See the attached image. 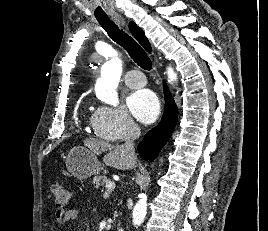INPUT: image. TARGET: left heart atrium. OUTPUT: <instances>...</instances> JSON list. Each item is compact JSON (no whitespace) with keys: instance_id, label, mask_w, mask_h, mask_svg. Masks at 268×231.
<instances>
[{"instance_id":"1","label":"left heart atrium","mask_w":268,"mask_h":231,"mask_svg":"<svg viewBox=\"0 0 268 231\" xmlns=\"http://www.w3.org/2000/svg\"><path fill=\"white\" fill-rule=\"evenodd\" d=\"M127 107L131 115L144 124L153 123L160 114L157 96L150 90H139L127 98Z\"/></svg>"}]
</instances>
